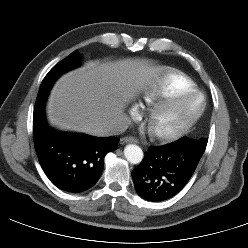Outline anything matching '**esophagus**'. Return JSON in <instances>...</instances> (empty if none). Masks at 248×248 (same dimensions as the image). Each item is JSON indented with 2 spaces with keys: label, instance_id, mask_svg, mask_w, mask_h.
Segmentation results:
<instances>
[{
  "label": "esophagus",
  "instance_id": "34e87169",
  "mask_svg": "<svg viewBox=\"0 0 248 248\" xmlns=\"http://www.w3.org/2000/svg\"><path fill=\"white\" fill-rule=\"evenodd\" d=\"M126 143H138V140L134 137H131V136L123 137L120 139V144L123 145Z\"/></svg>",
  "mask_w": 248,
  "mask_h": 248
}]
</instances>
